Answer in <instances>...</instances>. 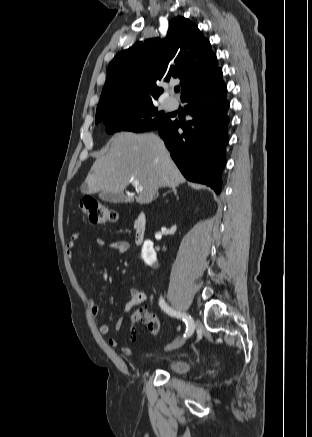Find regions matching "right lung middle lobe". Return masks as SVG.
Instances as JSON below:
<instances>
[{
  "mask_svg": "<svg viewBox=\"0 0 312 437\" xmlns=\"http://www.w3.org/2000/svg\"><path fill=\"white\" fill-rule=\"evenodd\" d=\"M103 121L109 134L117 131L144 132L168 125L172 120L169 114L158 111L153 102L122 107L111 114L96 119Z\"/></svg>",
  "mask_w": 312,
  "mask_h": 437,
  "instance_id": "right-lung-middle-lobe-1",
  "label": "right lung middle lobe"
}]
</instances>
